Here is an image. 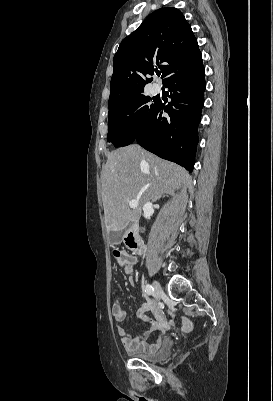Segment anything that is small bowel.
<instances>
[{"label":"small bowel","mask_w":273,"mask_h":401,"mask_svg":"<svg viewBox=\"0 0 273 401\" xmlns=\"http://www.w3.org/2000/svg\"><path fill=\"white\" fill-rule=\"evenodd\" d=\"M112 256L118 267H120L124 273L131 274L133 267L137 263V258L124 249H114ZM129 283L134 285L135 281L133 278H129ZM112 306L111 311L114 317V322L117 325V333L121 337L123 347L130 353H153L158 350L164 343V339L159 336L153 342H149V338L154 332H161L164 329L169 331L171 326L167 323L163 311L160 307L153 303L145 302L142 303L137 309L136 315L139 320L146 323L148 328L139 336H133L126 332V330L120 326V324L126 318V312L123 309L120 302L119 290L114 288L111 292ZM151 312L152 316L148 313ZM195 320L193 318L183 317L182 332L184 334L192 333Z\"/></svg>","instance_id":"obj_1"}]
</instances>
